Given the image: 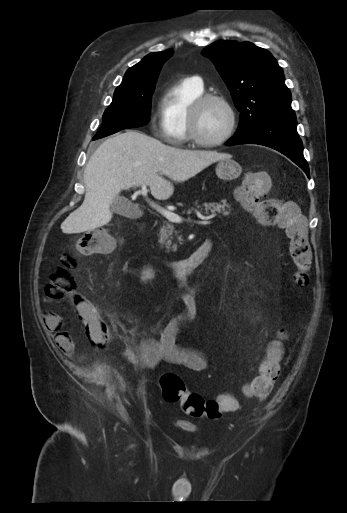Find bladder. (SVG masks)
I'll return each instance as SVG.
<instances>
[{"label": "bladder", "instance_id": "bladder-1", "mask_svg": "<svg viewBox=\"0 0 347 513\" xmlns=\"http://www.w3.org/2000/svg\"><path fill=\"white\" fill-rule=\"evenodd\" d=\"M177 424H178V426L180 428H182L184 430H187V431H192L193 430L192 427L189 424H187L186 422L179 421Z\"/></svg>", "mask_w": 347, "mask_h": 513}]
</instances>
